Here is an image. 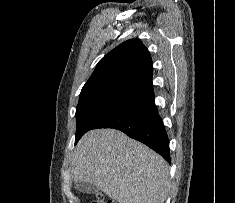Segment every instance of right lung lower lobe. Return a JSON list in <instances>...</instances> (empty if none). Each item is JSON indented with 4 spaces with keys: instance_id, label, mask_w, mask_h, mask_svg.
Segmentation results:
<instances>
[{
    "instance_id": "1",
    "label": "right lung lower lobe",
    "mask_w": 235,
    "mask_h": 203,
    "mask_svg": "<svg viewBox=\"0 0 235 203\" xmlns=\"http://www.w3.org/2000/svg\"><path fill=\"white\" fill-rule=\"evenodd\" d=\"M97 128L118 129L171 162L168 136L155 106L153 87L142 97L100 120L92 129Z\"/></svg>"
}]
</instances>
